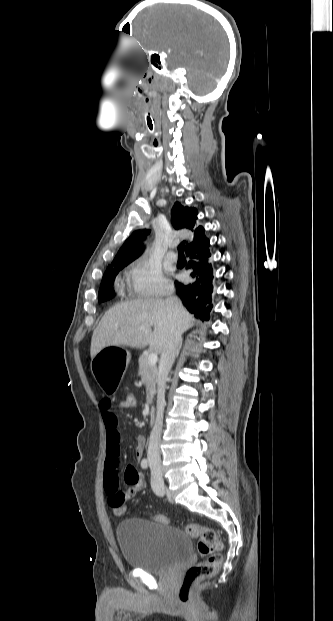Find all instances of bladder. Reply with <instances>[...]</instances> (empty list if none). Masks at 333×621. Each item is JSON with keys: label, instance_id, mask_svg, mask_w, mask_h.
Returning <instances> with one entry per match:
<instances>
[{"label": "bladder", "instance_id": "1", "mask_svg": "<svg viewBox=\"0 0 333 621\" xmlns=\"http://www.w3.org/2000/svg\"><path fill=\"white\" fill-rule=\"evenodd\" d=\"M116 538L125 562L151 574L168 573L190 553V540L184 532L153 519L120 522Z\"/></svg>", "mask_w": 333, "mask_h": 621}]
</instances>
